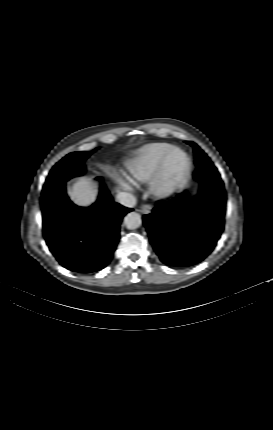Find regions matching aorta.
Returning a JSON list of instances; mask_svg holds the SVG:
<instances>
[{"label":"aorta","instance_id":"1","mask_svg":"<svg viewBox=\"0 0 273 430\" xmlns=\"http://www.w3.org/2000/svg\"><path fill=\"white\" fill-rule=\"evenodd\" d=\"M124 223L128 229H135L141 225L142 219L140 214L130 212L125 216Z\"/></svg>","mask_w":273,"mask_h":430}]
</instances>
